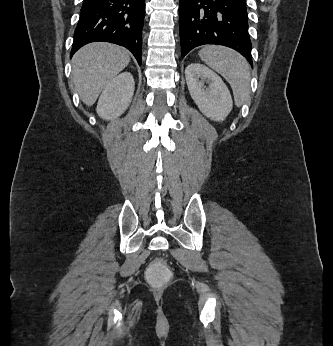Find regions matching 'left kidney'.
Wrapping results in <instances>:
<instances>
[{"label": "left kidney", "mask_w": 333, "mask_h": 346, "mask_svg": "<svg viewBox=\"0 0 333 346\" xmlns=\"http://www.w3.org/2000/svg\"><path fill=\"white\" fill-rule=\"evenodd\" d=\"M185 77L190 95L199 110L213 121H223L231 112L233 102L221 77L200 63L188 65Z\"/></svg>", "instance_id": "5707ae66"}]
</instances>
